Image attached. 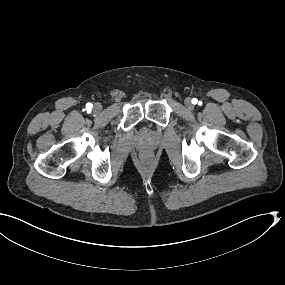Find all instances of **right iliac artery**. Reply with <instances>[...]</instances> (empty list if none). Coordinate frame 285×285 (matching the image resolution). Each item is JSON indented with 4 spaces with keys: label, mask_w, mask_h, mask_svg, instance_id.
<instances>
[{
    "label": "right iliac artery",
    "mask_w": 285,
    "mask_h": 285,
    "mask_svg": "<svg viewBox=\"0 0 285 285\" xmlns=\"http://www.w3.org/2000/svg\"><path fill=\"white\" fill-rule=\"evenodd\" d=\"M86 108H87V109H91V108H92V104H91V103H87V104H86Z\"/></svg>",
    "instance_id": "obj_1"
}]
</instances>
